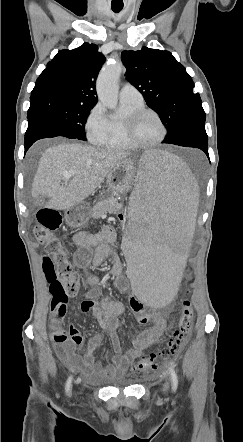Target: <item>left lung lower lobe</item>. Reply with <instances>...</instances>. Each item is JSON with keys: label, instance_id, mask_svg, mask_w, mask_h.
<instances>
[{"label": "left lung lower lobe", "instance_id": "0a47b994", "mask_svg": "<svg viewBox=\"0 0 243 442\" xmlns=\"http://www.w3.org/2000/svg\"><path fill=\"white\" fill-rule=\"evenodd\" d=\"M167 143L199 148L204 151L209 158L205 118L191 121L177 135L168 140Z\"/></svg>", "mask_w": 243, "mask_h": 442}]
</instances>
